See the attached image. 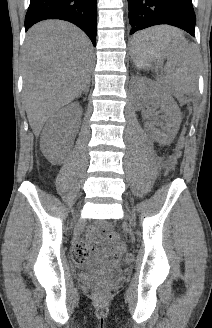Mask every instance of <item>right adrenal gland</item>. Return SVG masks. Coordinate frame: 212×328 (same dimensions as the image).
I'll return each mask as SVG.
<instances>
[{
	"mask_svg": "<svg viewBox=\"0 0 212 328\" xmlns=\"http://www.w3.org/2000/svg\"><path fill=\"white\" fill-rule=\"evenodd\" d=\"M89 87H90V85H88V86L86 87V89H85V93H86V94L89 92Z\"/></svg>",
	"mask_w": 212,
	"mask_h": 328,
	"instance_id": "1",
	"label": "right adrenal gland"
}]
</instances>
